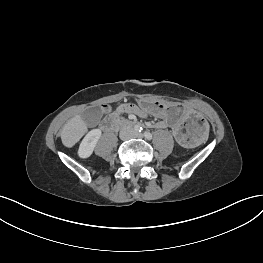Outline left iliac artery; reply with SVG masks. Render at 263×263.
<instances>
[{
  "label": "left iliac artery",
  "mask_w": 263,
  "mask_h": 263,
  "mask_svg": "<svg viewBox=\"0 0 263 263\" xmlns=\"http://www.w3.org/2000/svg\"><path fill=\"white\" fill-rule=\"evenodd\" d=\"M144 136H145L146 139H148V140H151V139H152V134H151L150 132H148V131H145V132H144Z\"/></svg>",
  "instance_id": "44dca946"
}]
</instances>
